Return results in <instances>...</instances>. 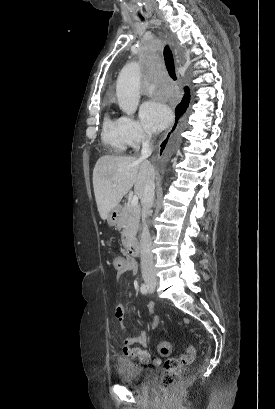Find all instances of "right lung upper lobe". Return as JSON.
Returning a JSON list of instances; mask_svg holds the SVG:
<instances>
[{"label":"right lung upper lobe","instance_id":"obj_1","mask_svg":"<svg viewBox=\"0 0 275 409\" xmlns=\"http://www.w3.org/2000/svg\"><path fill=\"white\" fill-rule=\"evenodd\" d=\"M189 99H190L189 88H188V87H185V95H184V97L182 98V101H181L180 104L186 102V101L189 100ZM180 104H179V105H180Z\"/></svg>","mask_w":275,"mask_h":409}]
</instances>
